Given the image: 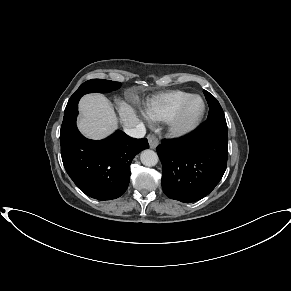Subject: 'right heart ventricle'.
Here are the masks:
<instances>
[{
  "instance_id": "right-heart-ventricle-1",
  "label": "right heart ventricle",
  "mask_w": 291,
  "mask_h": 291,
  "mask_svg": "<svg viewBox=\"0 0 291 291\" xmlns=\"http://www.w3.org/2000/svg\"><path fill=\"white\" fill-rule=\"evenodd\" d=\"M192 94L183 90H170L153 96L145 105L144 114L152 121H168Z\"/></svg>"
}]
</instances>
